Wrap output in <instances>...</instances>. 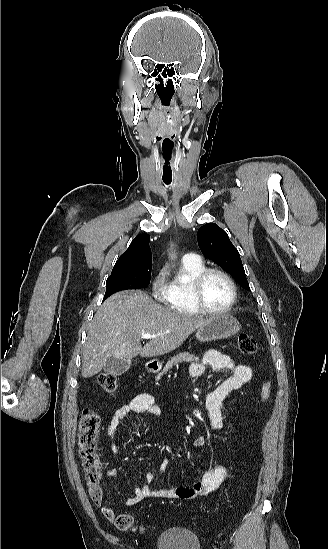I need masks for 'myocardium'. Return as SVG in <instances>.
<instances>
[{
  "label": "myocardium",
  "instance_id": "obj_1",
  "mask_svg": "<svg viewBox=\"0 0 328 549\" xmlns=\"http://www.w3.org/2000/svg\"><path fill=\"white\" fill-rule=\"evenodd\" d=\"M212 273H219L223 275L230 283L232 288V297L230 302L219 310H212L202 307L201 305L206 304L203 295L202 288L206 278ZM190 295L193 301V304L190 305V308L200 316H212V317H222L229 314L235 307L238 299V286L233 278V276L222 266L220 265H207L199 273H197L190 284Z\"/></svg>",
  "mask_w": 328,
  "mask_h": 549
}]
</instances>
